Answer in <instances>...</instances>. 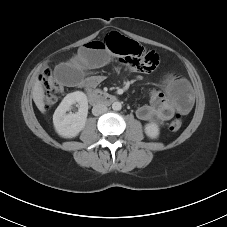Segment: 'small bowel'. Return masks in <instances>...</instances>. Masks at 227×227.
<instances>
[{
	"instance_id": "small-bowel-1",
	"label": "small bowel",
	"mask_w": 227,
	"mask_h": 227,
	"mask_svg": "<svg viewBox=\"0 0 227 227\" xmlns=\"http://www.w3.org/2000/svg\"><path fill=\"white\" fill-rule=\"evenodd\" d=\"M101 40H93L82 46L68 62L58 64L54 69L56 80L64 87L92 89L103 81V76H85L86 69L100 68L110 61V54ZM117 67L139 72L141 62L135 58H119ZM164 91L149 92L148 104L140 106L136 115L139 119L158 125L170 120L175 112L188 113L193 106V96L188 82L175 75L163 80Z\"/></svg>"
}]
</instances>
